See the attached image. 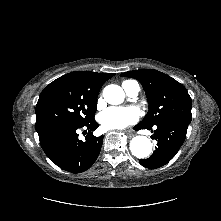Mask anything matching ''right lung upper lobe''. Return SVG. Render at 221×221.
Returning <instances> with one entry per match:
<instances>
[{
	"mask_svg": "<svg viewBox=\"0 0 221 221\" xmlns=\"http://www.w3.org/2000/svg\"><path fill=\"white\" fill-rule=\"evenodd\" d=\"M114 73H96L89 71H75L61 76L74 82L89 95L98 96L105 81L113 77Z\"/></svg>",
	"mask_w": 221,
	"mask_h": 221,
	"instance_id": "1",
	"label": "right lung upper lobe"
}]
</instances>
